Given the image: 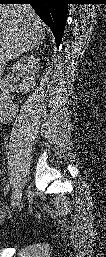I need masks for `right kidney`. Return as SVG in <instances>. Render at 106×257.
Segmentation results:
<instances>
[{
    "label": "right kidney",
    "instance_id": "right-kidney-1",
    "mask_svg": "<svg viewBox=\"0 0 106 257\" xmlns=\"http://www.w3.org/2000/svg\"><path fill=\"white\" fill-rule=\"evenodd\" d=\"M40 60L35 56H26L12 67V73L4 77L1 83L0 107L2 109H9L14 107L11 97L9 95L10 83L14 80L21 81L17 88L27 93L35 85L36 74L39 70Z\"/></svg>",
    "mask_w": 106,
    "mask_h": 257
}]
</instances>
